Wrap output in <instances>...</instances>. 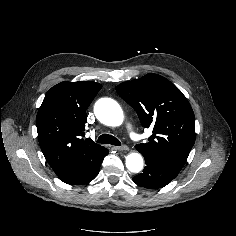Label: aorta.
Wrapping results in <instances>:
<instances>
[{
	"mask_svg": "<svg viewBox=\"0 0 236 236\" xmlns=\"http://www.w3.org/2000/svg\"><path fill=\"white\" fill-rule=\"evenodd\" d=\"M95 114L103 124L107 126H119L124 115L120 105L113 99L102 98L95 105ZM126 167L133 173H138L143 168V158L139 153H130L126 157Z\"/></svg>",
	"mask_w": 236,
	"mask_h": 236,
	"instance_id": "obj_1",
	"label": "aorta"
}]
</instances>
